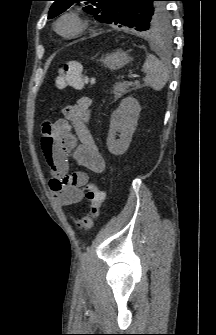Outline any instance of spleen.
<instances>
[{
	"mask_svg": "<svg viewBox=\"0 0 216 335\" xmlns=\"http://www.w3.org/2000/svg\"><path fill=\"white\" fill-rule=\"evenodd\" d=\"M142 70L146 74L144 84L155 91H160L168 81V68L152 54L147 55Z\"/></svg>",
	"mask_w": 216,
	"mask_h": 335,
	"instance_id": "obj_1",
	"label": "spleen"
}]
</instances>
